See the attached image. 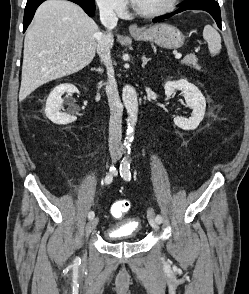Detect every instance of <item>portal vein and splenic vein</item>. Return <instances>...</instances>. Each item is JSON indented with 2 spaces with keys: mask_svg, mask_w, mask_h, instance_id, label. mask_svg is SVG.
<instances>
[{
  "mask_svg": "<svg viewBox=\"0 0 249 294\" xmlns=\"http://www.w3.org/2000/svg\"><path fill=\"white\" fill-rule=\"evenodd\" d=\"M181 57H182V54L181 53H178V54L175 55V58L176 59H180Z\"/></svg>",
  "mask_w": 249,
  "mask_h": 294,
  "instance_id": "18ae733b",
  "label": "portal vein and splenic vein"
}]
</instances>
